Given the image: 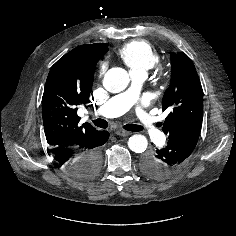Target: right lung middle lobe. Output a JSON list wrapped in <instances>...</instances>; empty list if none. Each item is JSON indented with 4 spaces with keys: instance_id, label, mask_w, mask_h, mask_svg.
Returning a JSON list of instances; mask_svg holds the SVG:
<instances>
[{
    "instance_id": "1",
    "label": "right lung middle lobe",
    "mask_w": 236,
    "mask_h": 236,
    "mask_svg": "<svg viewBox=\"0 0 236 236\" xmlns=\"http://www.w3.org/2000/svg\"><path fill=\"white\" fill-rule=\"evenodd\" d=\"M101 164H99L96 156H88L85 163L84 178H91L95 176L100 170Z\"/></svg>"
}]
</instances>
